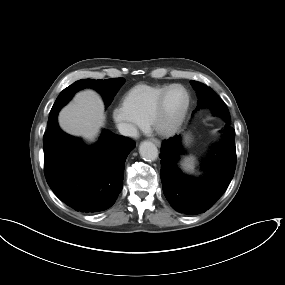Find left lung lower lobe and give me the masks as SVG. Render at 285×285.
Returning <instances> with one entry per match:
<instances>
[{"instance_id":"1","label":"left lung lower lobe","mask_w":285,"mask_h":285,"mask_svg":"<svg viewBox=\"0 0 285 285\" xmlns=\"http://www.w3.org/2000/svg\"><path fill=\"white\" fill-rule=\"evenodd\" d=\"M223 101L212 100V108L221 109ZM231 119L226 120L223 139L213 145L218 156L208 160L203 179L183 174L176 163L183 152L180 136L163 141L161 147V181L163 192L171 206L179 213L199 214L208 210L225 192L236 167L235 130Z\"/></svg>"}]
</instances>
